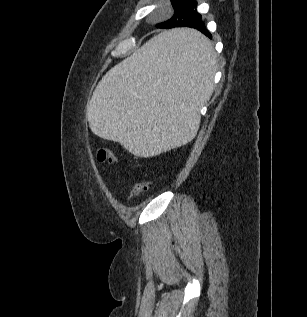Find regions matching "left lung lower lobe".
I'll return each mask as SVG.
<instances>
[{
  "label": "left lung lower lobe",
  "mask_w": 307,
  "mask_h": 317,
  "mask_svg": "<svg viewBox=\"0 0 307 317\" xmlns=\"http://www.w3.org/2000/svg\"><path fill=\"white\" fill-rule=\"evenodd\" d=\"M158 27L165 28V29L170 28V27H168V24L165 22L160 23L158 25ZM178 27L194 28V29L200 31L201 33H203L208 38H210V39L212 38L211 33L205 27V24L202 20V16L198 12L196 13L195 16L190 18L188 21L182 22V24ZM195 32H197V31H195ZM167 47L170 49V51L175 52V53L180 51V50L193 49V50L201 52L202 54H206L207 48H208L202 42L201 38H198L197 36H192V35L189 36L188 34L170 38L167 42Z\"/></svg>",
  "instance_id": "obj_1"
}]
</instances>
